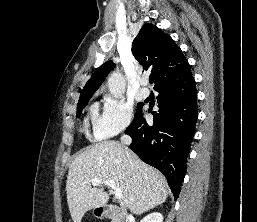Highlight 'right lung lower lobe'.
<instances>
[{
    "mask_svg": "<svg viewBox=\"0 0 257 222\" xmlns=\"http://www.w3.org/2000/svg\"><path fill=\"white\" fill-rule=\"evenodd\" d=\"M155 90L159 110L153 113V124L140 112L125 133L132 138V151L165 175L177 199L198 117L195 81L189 74L159 84Z\"/></svg>",
    "mask_w": 257,
    "mask_h": 222,
    "instance_id": "98d812e1",
    "label": "right lung lower lobe"
}]
</instances>
